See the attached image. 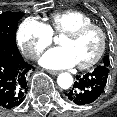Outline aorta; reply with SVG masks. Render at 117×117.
Masks as SVG:
<instances>
[{
  "mask_svg": "<svg viewBox=\"0 0 117 117\" xmlns=\"http://www.w3.org/2000/svg\"><path fill=\"white\" fill-rule=\"evenodd\" d=\"M57 83L62 89H68L73 84V77L67 72L61 73L57 78Z\"/></svg>",
  "mask_w": 117,
  "mask_h": 117,
  "instance_id": "obj_1",
  "label": "aorta"
}]
</instances>
